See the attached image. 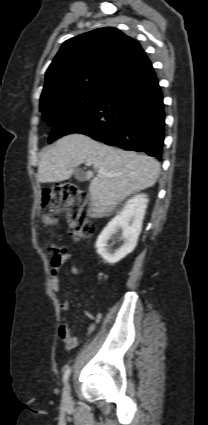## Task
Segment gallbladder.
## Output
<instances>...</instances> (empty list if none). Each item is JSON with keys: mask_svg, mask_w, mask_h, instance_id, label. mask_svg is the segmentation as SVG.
I'll list each match as a JSON object with an SVG mask.
<instances>
[{"mask_svg": "<svg viewBox=\"0 0 208 425\" xmlns=\"http://www.w3.org/2000/svg\"><path fill=\"white\" fill-rule=\"evenodd\" d=\"M74 175H75L76 179H78L79 181H85L86 180V176H85L84 172L79 168L75 169Z\"/></svg>", "mask_w": 208, "mask_h": 425, "instance_id": "bac80fb5", "label": "gallbladder"}]
</instances>
